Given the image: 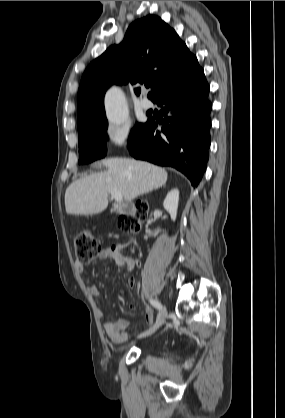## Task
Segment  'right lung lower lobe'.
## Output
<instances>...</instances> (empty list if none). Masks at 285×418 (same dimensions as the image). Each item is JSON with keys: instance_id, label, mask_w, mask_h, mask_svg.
I'll list each match as a JSON object with an SVG mask.
<instances>
[{"instance_id": "obj_1", "label": "right lung lower lobe", "mask_w": 285, "mask_h": 418, "mask_svg": "<svg viewBox=\"0 0 285 418\" xmlns=\"http://www.w3.org/2000/svg\"><path fill=\"white\" fill-rule=\"evenodd\" d=\"M209 85L200 69L166 91L155 103L162 107L165 120L149 118L128 142L130 154L184 173L197 186L208 161L210 147ZM168 115V116H167ZM162 124V130L156 128Z\"/></svg>"}]
</instances>
